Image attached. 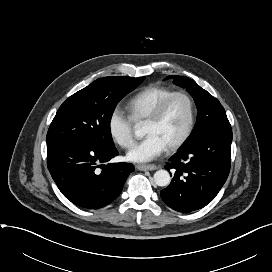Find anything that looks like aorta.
Masks as SVG:
<instances>
[{
  "mask_svg": "<svg viewBox=\"0 0 272 272\" xmlns=\"http://www.w3.org/2000/svg\"><path fill=\"white\" fill-rule=\"evenodd\" d=\"M134 134L137 138H143L145 135V130L143 127H136L134 130ZM154 182L156 185L158 186H167L169 185L170 181H171V177L168 171L166 170H158L154 173L153 176Z\"/></svg>",
  "mask_w": 272,
  "mask_h": 272,
  "instance_id": "1",
  "label": "aorta"
}]
</instances>
